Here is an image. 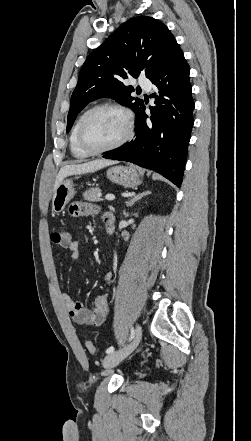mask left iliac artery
<instances>
[{"instance_id":"left-iliac-artery-1","label":"left iliac artery","mask_w":251,"mask_h":441,"mask_svg":"<svg viewBox=\"0 0 251 441\" xmlns=\"http://www.w3.org/2000/svg\"><path fill=\"white\" fill-rule=\"evenodd\" d=\"M134 335H135V331H134L133 328H131V334H130L129 341L132 340V339L134 338ZM113 351H114V347L111 346V347L107 348L106 353L109 354V353H111V352H113Z\"/></svg>"}]
</instances>
